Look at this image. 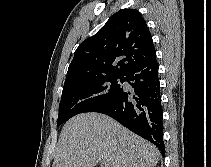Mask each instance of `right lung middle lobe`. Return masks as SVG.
<instances>
[{
    "mask_svg": "<svg viewBox=\"0 0 211 167\" xmlns=\"http://www.w3.org/2000/svg\"><path fill=\"white\" fill-rule=\"evenodd\" d=\"M123 76H104L63 87L57 126L83 112H96L122 91Z\"/></svg>",
    "mask_w": 211,
    "mask_h": 167,
    "instance_id": "right-lung-middle-lobe-1",
    "label": "right lung middle lobe"
}]
</instances>
